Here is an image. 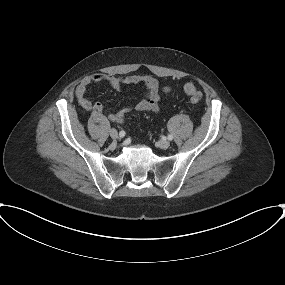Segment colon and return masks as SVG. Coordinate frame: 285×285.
Segmentation results:
<instances>
[{
    "mask_svg": "<svg viewBox=\"0 0 285 285\" xmlns=\"http://www.w3.org/2000/svg\"><path fill=\"white\" fill-rule=\"evenodd\" d=\"M184 92L190 97L193 103H198L202 99V93L193 83H186L183 87Z\"/></svg>",
    "mask_w": 285,
    "mask_h": 285,
    "instance_id": "colon-1",
    "label": "colon"
}]
</instances>
